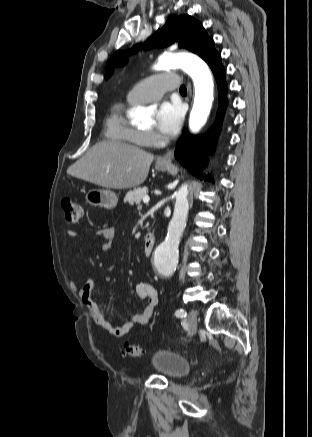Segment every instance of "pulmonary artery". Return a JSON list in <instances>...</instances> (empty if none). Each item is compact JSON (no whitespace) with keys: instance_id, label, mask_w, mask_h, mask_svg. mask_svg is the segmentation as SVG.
I'll use <instances>...</instances> for the list:
<instances>
[{"instance_id":"pulmonary-artery-1","label":"pulmonary artery","mask_w":312,"mask_h":437,"mask_svg":"<svg viewBox=\"0 0 312 437\" xmlns=\"http://www.w3.org/2000/svg\"><path fill=\"white\" fill-rule=\"evenodd\" d=\"M181 79L177 74H158L138 82L127 94L130 102L144 103L158 100L165 91L180 86Z\"/></svg>"}]
</instances>
